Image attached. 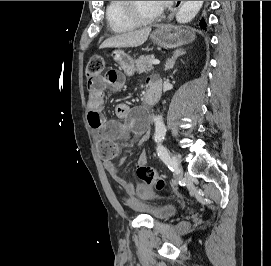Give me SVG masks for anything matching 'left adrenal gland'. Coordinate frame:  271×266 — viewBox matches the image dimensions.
<instances>
[{
    "mask_svg": "<svg viewBox=\"0 0 271 266\" xmlns=\"http://www.w3.org/2000/svg\"><path fill=\"white\" fill-rule=\"evenodd\" d=\"M185 53L186 52L183 49H177V50H175L173 52L172 57L167 60L164 70L168 71V70L172 69L174 67V65H175V62H176L177 58L179 56L184 55Z\"/></svg>",
    "mask_w": 271,
    "mask_h": 266,
    "instance_id": "left-adrenal-gland-1",
    "label": "left adrenal gland"
}]
</instances>
